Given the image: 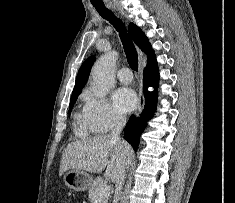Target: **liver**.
I'll use <instances>...</instances> for the list:
<instances>
[{
	"label": "liver",
	"mask_w": 235,
	"mask_h": 203,
	"mask_svg": "<svg viewBox=\"0 0 235 203\" xmlns=\"http://www.w3.org/2000/svg\"><path fill=\"white\" fill-rule=\"evenodd\" d=\"M132 155L129 144L107 134L79 140L64 149L59 175L71 169L101 173L106 168L105 176L116 182L122 170L129 166Z\"/></svg>",
	"instance_id": "liver-1"
}]
</instances>
